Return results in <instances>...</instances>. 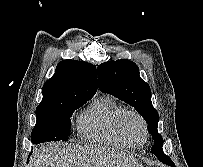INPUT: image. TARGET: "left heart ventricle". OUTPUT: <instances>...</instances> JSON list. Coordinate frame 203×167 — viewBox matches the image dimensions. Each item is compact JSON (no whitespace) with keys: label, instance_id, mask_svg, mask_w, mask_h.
Returning <instances> with one entry per match:
<instances>
[{"label":"left heart ventricle","instance_id":"left-heart-ventricle-1","mask_svg":"<svg viewBox=\"0 0 203 167\" xmlns=\"http://www.w3.org/2000/svg\"><path fill=\"white\" fill-rule=\"evenodd\" d=\"M124 130L130 139V141L136 145H139L143 141V128L139 120L133 116H130L124 121Z\"/></svg>","mask_w":203,"mask_h":167}]
</instances>
